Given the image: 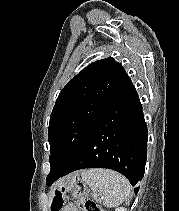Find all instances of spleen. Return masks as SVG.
I'll list each match as a JSON object with an SVG mask.
<instances>
[{"instance_id":"spleen-1","label":"spleen","mask_w":179,"mask_h":211,"mask_svg":"<svg viewBox=\"0 0 179 211\" xmlns=\"http://www.w3.org/2000/svg\"><path fill=\"white\" fill-rule=\"evenodd\" d=\"M82 181L91 190V196L97 200L103 198V205L114 208L122 204L131 194L129 181L120 173L109 169H88L82 171Z\"/></svg>"}]
</instances>
